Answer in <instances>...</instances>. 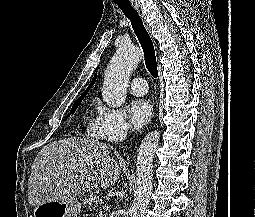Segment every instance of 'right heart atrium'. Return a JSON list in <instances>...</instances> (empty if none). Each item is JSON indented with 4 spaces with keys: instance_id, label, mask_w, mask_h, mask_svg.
<instances>
[{
    "instance_id": "right-heart-atrium-1",
    "label": "right heart atrium",
    "mask_w": 255,
    "mask_h": 217,
    "mask_svg": "<svg viewBox=\"0 0 255 217\" xmlns=\"http://www.w3.org/2000/svg\"><path fill=\"white\" fill-rule=\"evenodd\" d=\"M128 124L120 110L99 105L92 134L102 139L117 140L127 134Z\"/></svg>"
}]
</instances>
